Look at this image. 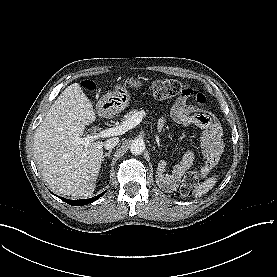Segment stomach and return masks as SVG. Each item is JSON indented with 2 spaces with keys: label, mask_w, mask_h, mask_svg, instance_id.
<instances>
[{
  "label": "stomach",
  "mask_w": 277,
  "mask_h": 277,
  "mask_svg": "<svg viewBox=\"0 0 277 277\" xmlns=\"http://www.w3.org/2000/svg\"><path fill=\"white\" fill-rule=\"evenodd\" d=\"M140 88L143 86V80L139 78L130 77L126 80L124 85H117L115 89L107 93L102 98V106L109 113L115 114L124 110L130 104V94L128 87Z\"/></svg>",
  "instance_id": "0dacf381"
}]
</instances>
